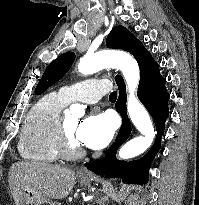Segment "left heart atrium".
Masks as SVG:
<instances>
[{
	"instance_id": "left-heart-atrium-1",
	"label": "left heart atrium",
	"mask_w": 199,
	"mask_h": 205,
	"mask_svg": "<svg viewBox=\"0 0 199 205\" xmlns=\"http://www.w3.org/2000/svg\"><path fill=\"white\" fill-rule=\"evenodd\" d=\"M115 129L116 122L110 114H92L79 123L76 137L88 148L102 149L111 141Z\"/></svg>"
}]
</instances>
